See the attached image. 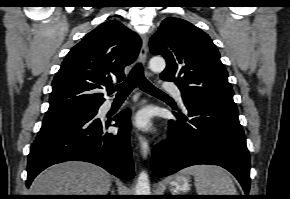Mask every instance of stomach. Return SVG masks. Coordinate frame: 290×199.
Wrapping results in <instances>:
<instances>
[{
  "label": "stomach",
  "instance_id": "1",
  "mask_svg": "<svg viewBox=\"0 0 290 199\" xmlns=\"http://www.w3.org/2000/svg\"><path fill=\"white\" fill-rule=\"evenodd\" d=\"M190 178L183 173L177 174L171 182L172 190L174 193L186 192L190 188Z\"/></svg>",
  "mask_w": 290,
  "mask_h": 199
}]
</instances>
